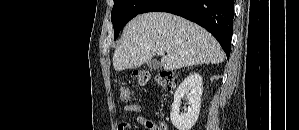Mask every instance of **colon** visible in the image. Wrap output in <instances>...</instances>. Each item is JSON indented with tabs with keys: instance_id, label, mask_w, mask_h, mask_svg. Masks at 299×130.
I'll return each mask as SVG.
<instances>
[{
	"instance_id": "obj_1",
	"label": "colon",
	"mask_w": 299,
	"mask_h": 130,
	"mask_svg": "<svg viewBox=\"0 0 299 130\" xmlns=\"http://www.w3.org/2000/svg\"><path fill=\"white\" fill-rule=\"evenodd\" d=\"M134 79L139 86H146L152 79L149 70H137L134 72ZM176 75L172 71L163 70L155 75L156 83L164 90H172L175 84ZM134 92L128 85L120 87V98L126 102L132 99ZM155 130H166L162 125H156Z\"/></svg>"
}]
</instances>
